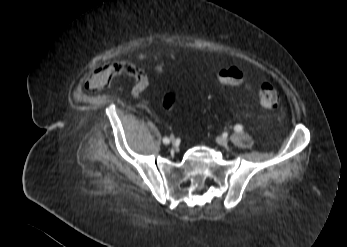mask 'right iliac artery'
<instances>
[{
  "label": "right iliac artery",
  "mask_w": 347,
  "mask_h": 247,
  "mask_svg": "<svg viewBox=\"0 0 347 247\" xmlns=\"http://www.w3.org/2000/svg\"><path fill=\"white\" fill-rule=\"evenodd\" d=\"M169 142H170L169 138H167V137L163 138V143L164 144H169Z\"/></svg>",
  "instance_id": "right-iliac-artery-1"
}]
</instances>
